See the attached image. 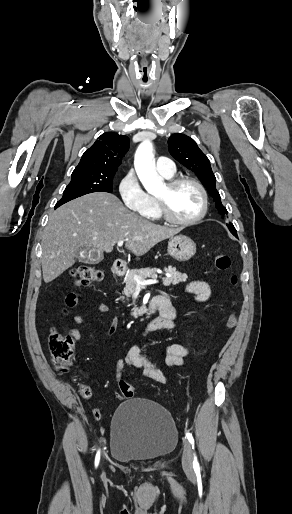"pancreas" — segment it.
Wrapping results in <instances>:
<instances>
[{
  "mask_svg": "<svg viewBox=\"0 0 292 514\" xmlns=\"http://www.w3.org/2000/svg\"><path fill=\"white\" fill-rule=\"evenodd\" d=\"M158 268H141V270H130L126 276V286L124 288L125 296H133L137 282L134 280V276H139L142 282L146 280V278H153V280H157V272ZM164 272L167 274H171L170 278H162L163 286H176L179 282H186L188 276L187 274H181V272H176L175 268H164ZM133 316H139V310L134 308L132 312Z\"/></svg>",
  "mask_w": 292,
  "mask_h": 514,
  "instance_id": "cf45deb5",
  "label": "pancreas"
}]
</instances>
